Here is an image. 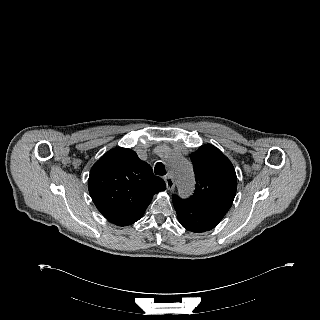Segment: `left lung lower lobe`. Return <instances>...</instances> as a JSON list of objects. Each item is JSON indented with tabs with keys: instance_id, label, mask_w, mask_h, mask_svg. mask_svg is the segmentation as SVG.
<instances>
[{
	"instance_id": "obj_1",
	"label": "left lung lower lobe",
	"mask_w": 320,
	"mask_h": 320,
	"mask_svg": "<svg viewBox=\"0 0 320 320\" xmlns=\"http://www.w3.org/2000/svg\"><path fill=\"white\" fill-rule=\"evenodd\" d=\"M180 224L191 232H205L213 229L225 216V213L202 207L178 197H173Z\"/></svg>"
}]
</instances>
